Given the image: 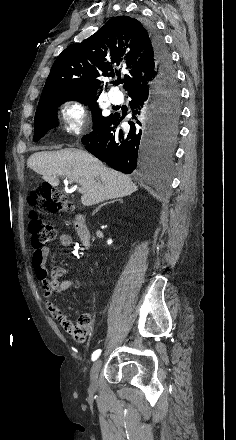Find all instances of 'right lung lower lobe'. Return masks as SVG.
<instances>
[{"mask_svg": "<svg viewBox=\"0 0 236 440\" xmlns=\"http://www.w3.org/2000/svg\"><path fill=\"white\" fill-rule=\"evenodd\" d=\"M155 59L158 77L154 83L128 93L133 120L130 129L122 130L119 124L123 117L110 114L105 121L82 138L85 148L95 157L112 168L129 174L144 172L159 163L163 146L159 144L158 133L163 119L164 103L154 89L158 85L174 82L177 84L170 53L164 39L153 25L146 24Z\"/></svg>", "mask_w": 236, "mask_h": 440, "instance_id": "right-lung-lower-lobe-1", "label": "right lung lower lobe"}]
</instances>
